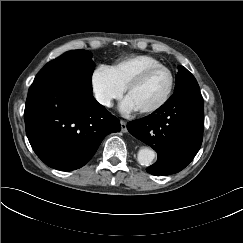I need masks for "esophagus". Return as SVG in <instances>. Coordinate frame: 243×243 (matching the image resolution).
Returning <instances> with one entry per match:
<instances>
[{
  "label": "esophagus",
  "mask_w": 243,
  "mask_h": 243,
  "mask_svg": "<svg viewBox=\"0 0 243 243\" xmlns=\"http://www.w3.org/2000/svg\"><path fill=\"white\" fill-rule=\"evenodd\" d=\"M120 125H121V130L123 133L127 132V123L123 120L120 121Z\"/></svg>",
  "instance_id": "esophagus-1"
}]
</instances>
